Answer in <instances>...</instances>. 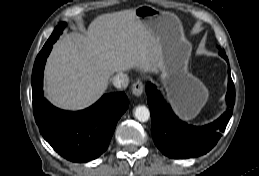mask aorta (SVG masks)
Here are the masks:
<instances>
[{
  "label": "aorta",
  "mask_w": 259,
  "mask_h": 176,
  "mask_svg": "<svg viewBox=\"0 0 259 176\" xmlns=\"http://www.w3.org/2000/svg\"><path fill=\"white\" fill-rule=\"evenodd\" d=\"M135 118L140 122H146L150 118V111L146 106H137L134 111Z\"/></svg>",
  "instance_id": "1"
}]
</instances>
